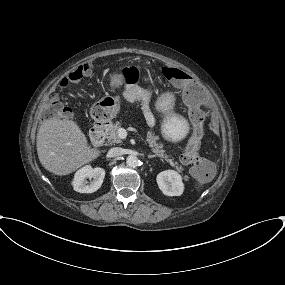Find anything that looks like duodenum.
Here are the masks:
<instances>
[{
  "label": "duodenum",
  "mask_w": 285,
  "mask_h": 285,
  "mask_svg": "<svg viewBox=\"0 0 285 285\" xmlns=\"http://www.w3.org/2000/svg\"><path fill=\"white\" fill-rule=\"evenodd\" d=\"M107 127L105 125L102 126H94L90 131V138L94 144H100L105 139V132Z\"/></svg>",
  "instance_id": "duodenum-1"
}]
</instances>
